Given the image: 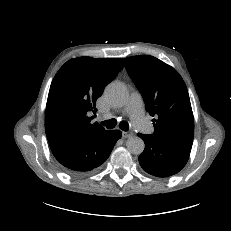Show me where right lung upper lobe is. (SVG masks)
Here are the masks:
<instances>
[{"mask_svg": "<svg viewBox=\"0 0 231 231\" xmlns=\"http://www.w3.org/2000/svg\"><path fill=\"white\" fill-rule=\"evenodd\" d=\"M120 58L79 57L55 75L48 94L45 132L49 142L93 135L105 129L91 112L104 87L122 70Z\"/></svg>", "mask_w": 231, "mask_h": 231, "instance_id": "right-lung-upper-lobe-1", "label": "right lung upper lobe"}]
</instances>
